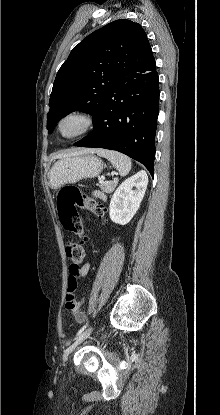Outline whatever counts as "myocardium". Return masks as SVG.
Masks as SVG:
<instances>
[{"mask_svg":"<svg viewBox=\"0 0 220 415\" xmlns=\"http://www.w3.org/2000/svg\"><path fill=\"white\" fill-rule=\"evenodd\" d=\"M71 119L76 120L79 123V129L71 135H64L62 133V126L66 121ZM95 122V117L92 113L85 110H73L67 112L58 120L56 125V131L58 135L63 139L73 140L91 131L95 126Z\"/></svg>","mask_w":220,"mask_h":415,"instance_id":"1","label":"myocardium"}]
</instances>
